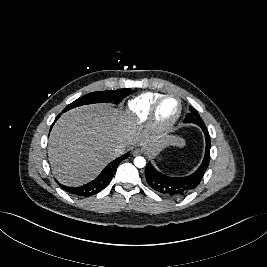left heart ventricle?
Here are the masks:
<instances>
[{
    "mask_svg": "<svg viewBox=\"0 0 267 267\" xmlns=\"http://www.w3.org/2000/svg\"><path fill=\"white\" fill-rule=\"evenodd\" d=\"M179 109L178 101L175 98L166 99L160 106L157 119L161 124H167L174 119Z\"/></svg>",
    "mask_w": 267,
    "mask_h": 267,
    "instance_id": "b2bd125f",
    "label": "left heart ventricle"
}]
</instances>
